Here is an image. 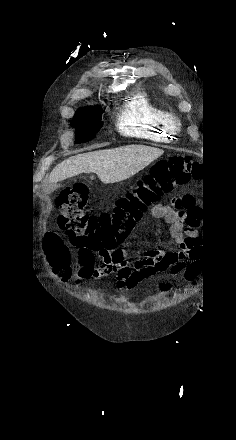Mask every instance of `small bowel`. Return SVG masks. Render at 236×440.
Masks as SVG:
<instances>
[{"label":"small bowel","mask_w":236,"mask_h":440,"mask_svg":"<svg viewBox=\"0 0 236 440\" xmlns=\"http://www.w3.org/2000/svg\"><path fill=\"white\" fill-rule=\"evenodd\" d=\"M200 209L196 206V199L192 194L177 195L171 204L158 203L152 208V215L163 219L170 225V237L178 250L164 249L150 250L140 257L131 266L127 260L125 248L115 250H92L87 247H78L77 284L84 279H101L116 274L118 290H133L144 280L157 273L170 272L182 276L183 282H194L201 271V256L196 251L198 234L192 227L198 221ZM190 221V228L186 221ZM59 258L68 268L70 252L66 246L57 249ZM96 253L102 259L96 267ZM67 273V272H66Z\"/></svg>","instance_id":"obj_1"}]
</instances>
